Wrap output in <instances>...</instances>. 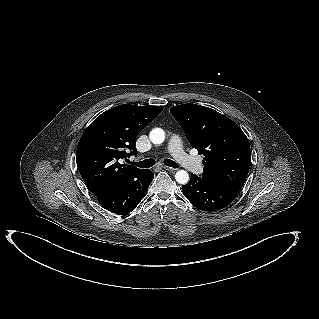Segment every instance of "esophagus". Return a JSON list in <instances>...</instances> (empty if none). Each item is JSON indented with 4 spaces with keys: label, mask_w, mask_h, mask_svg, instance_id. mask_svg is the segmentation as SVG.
<instances>
[{
    "label": "esophagus",
    "mask_w": 319,
    "mask_h": 319,
    "mask_svg": "<svg viewBox=\"0 0 319 319\" xmlns=\"http://www.w3.org/2000/svg\"><path fill=\"white\" fill-rule=\"evenodd\" d=\"M166 171H170V172H175L177 171V168H172V167H168V166H164L163 167Z\"/></svg>",
    "instance_id": "esophagus-1"
}]
</instances>
